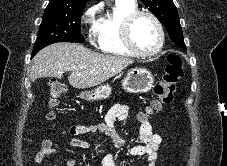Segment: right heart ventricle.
<instances>
[{"label": "right heart ventricle", "instance_id": "right-heart-ventricle-1", "mask_svg": "<svg viewBox=\"0 0 227 166\" xmlns=\"http://www.w3.org/2000/svg\"><path fill=\"white\" fill-rule=\"evenodd\" d=\"M137 11L135 2L116 0L111 11L100 17L94 27L96 47L108 54L133 55L123 44L121 26L124 19Z\"/></svg>", "mask_w": 227, "mask_h": 166}]
</instances>
